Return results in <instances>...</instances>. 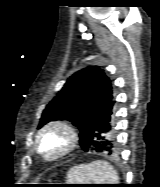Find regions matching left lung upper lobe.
<instances>
[{
    "label": "left lung upper lobe",
    "instance_id": "1",
    "mask_svg": "<svg viewBox=\"0 0 160 187\" xmlns=\"http://www.w3.org/2000/svg\"><path fill=\"white\" fill-rule=\"evenodd\" d=\"M112 86L98 66L74 73L42 113L40 126L55 120H68L79 129L80 145L88 151L84 135L92 132L105 108L112 101Z\"/></svg>",
    "mask_w": 160,
    "mask_h": 187
}]
</instances>
